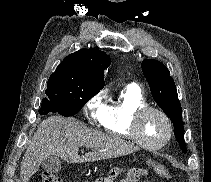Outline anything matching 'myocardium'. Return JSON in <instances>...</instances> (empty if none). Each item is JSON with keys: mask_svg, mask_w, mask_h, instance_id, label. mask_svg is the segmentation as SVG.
Masks as SVG:
<instances>
[{"mask_svg": "<svg viewBox=\"0 0 211 182\" xmlns=\"http://www.w3.org/2000/svg\"><path fill=\"white\" fill-rule=\"evenodd\" d=\"M150 112H155V113L159 114L163 118V120L165 121L166 126H167V135H166L165 139L161 143L156 144V145L146 143L141 138V134H140L141 119L147 113H150ZM131 134L133 136V139L141 147L149 149V150H159V149H162L163 147H165L170 142V140L172 139L173 125H172V122H171L169 116L162 109H160L158 107L150 106V105H145V106L137 108L132 115Z\"/></svg>", "mask_w": 211, "mask_h": 182, "instance_id": "1", "label": "myocardium"}]
</instances>
